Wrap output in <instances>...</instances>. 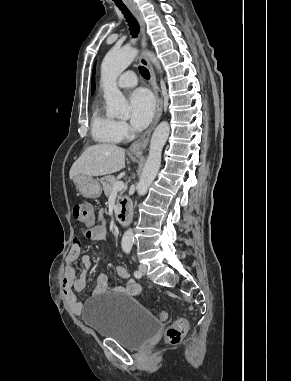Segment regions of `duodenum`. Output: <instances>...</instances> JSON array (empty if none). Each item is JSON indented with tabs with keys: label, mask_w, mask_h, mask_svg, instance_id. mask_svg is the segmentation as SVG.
Here are the masks:
<instances>
[{
	"label": "duodenum",
	"mask_w": 291,
	"mask_h": 381,
	"mask_svg": "<svg viewBox=\"0 0 291 381\" xmlns=\"http://www.w3.org/2000/svg\"><path fill=\"white\" fill-rule=\"evenodd\" d=\"M117 219L121 225L129 222V202L123 201L117 211Z\"/></svg>",
	"instance_id": "duodenum-1"
}]
</instances>
